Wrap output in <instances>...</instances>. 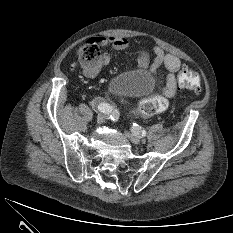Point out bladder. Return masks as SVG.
Instances as JSON below:
<instances>
[{"instance_id": "obj_1", "label": "bladder", "mask_w": 233, "mask_h": 233, "mask_svg": "<svg viewBox=\"0 0 233 233\" xmlns=\"http://www.w3.org/2000/svg\"><path fill=\"white\" fill-rule=\"evenodd\" d=\"M154 87V78L145 70H130L115 76L109 84L114 95L140 97Z\"/></svg>"}]
</instances>
